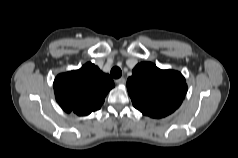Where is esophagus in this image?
<instances>
[{
  "label": "esophagus",
  "mask_w": 238,
  "mask_h": 158,
  "mask_svg": "<svg viewBox=\"0 0 238 158\" xmlns=\"http://www.w3.org/2000/svg\"><path fill=\"white\" fill-rule=\"evenodd\" d=\"M119 85H123L126 83V79L124 77H121L115 81Z\"/></svg>",
  "instance_id": "esophagus-1"
}]
</instances>
